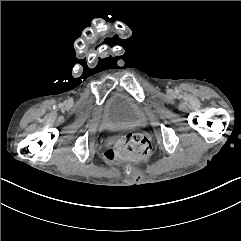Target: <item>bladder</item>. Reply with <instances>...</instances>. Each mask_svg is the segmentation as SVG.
I'll list each match as a JSON object with an SVG mask.
<instances>
[{"instance_id": "bladder-1", "label": "bladder", "mask_w": 241, "mask_h": 241, "mask_svg": "<svg viewBox=\"0 0 241 241\" xmlns=\"http://www.w3.org/2000/svg\"><path fill=\"white\" fill-rule=\"evenodd\" d=\"M106 119L113 125L137 124L141 115L138 106L128 95L118 93L107 105Z\"/></svg>"}]
</instances>
